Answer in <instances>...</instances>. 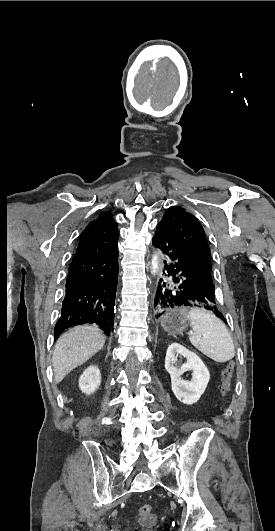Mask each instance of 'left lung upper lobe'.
I'll use <instances>...</instances> for the list:
<instances>
[{"label": "left lung upper lobe", "mask_w": 275, "mask_h": 531, "mask_svg": "<svg viewBox=\"0 0 275 531\" xmlns=\"http://www.w3.org/2000/svg\"><path fill=\"white\" fill-rule=\"evenodd\" d=\"M159 224L166 228L176 242L194 282L203 293L215 299L210 249L201 224L179 206L170 207Z\"/></svg>", "instance_id": "left-lung-upper-lobe-1"}]
</instances>
